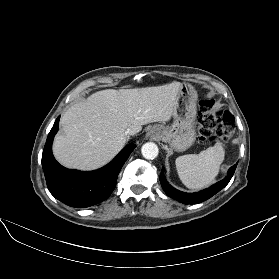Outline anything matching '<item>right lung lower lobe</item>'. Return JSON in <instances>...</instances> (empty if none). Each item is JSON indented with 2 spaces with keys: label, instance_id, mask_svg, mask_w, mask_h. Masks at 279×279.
Returning a JSON list of instances; mask_svg holds the SVG:
<instances>
[{
  "label": "right lung lower lobe",
  "instance_id": "right-lung-lower-lobe-1",
  "mask_svg": "<svg viewBox=\"0 0 279 279\" xmlns=\"http://www.w3.org/2000/svg\"><path fill=\"white\" fill-rule=\"evenodd\" d=\"M58 117L48 134L42 154V167L51 194L68 206L85 208L106 200L116 186L118 174L136 147L129 144L107 166L82 172L61 166L52 154V142L58 131Z\"/></svg>",
  "mask_w": 279,
  "mask_h": 279
}]
</instances>
